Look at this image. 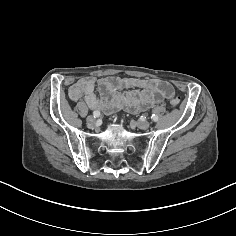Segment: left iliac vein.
<instances>
[{"label": "left iliac vein", "instance_id": "4c4485c4", "mask_svg": "<svg viewBox=\"0 0 236 236\" xmlns=\"http://www.w3.org/2000/svg\"><path fill=\"white\" fill-rule=\"evenodd\" d=\"M136 125L140 129H147L150 126V123L145 120H140L136 122Z\"/></svg>", "mask_w": 236, "mask_h": 236}]
</instances>
